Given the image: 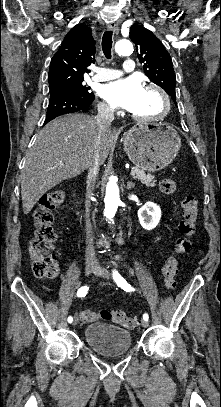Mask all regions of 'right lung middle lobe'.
Instances as JSON below:
<instances>
[{
  "label": "right lung middle lobe",
  "instance_id": "dd1d6c3e",
  "mask_svg": "<svg viewBox=\"0 0 221 407\" xmlns=\"http://www.w3.org/2000/svg\"><path fill=\"white\" fill-rule=\"evenodd\" d=\"M90 87H86L80 83H75L71 85H67L64 87L56 88L50 90V99L64 96V95H75V96H83V97H94V94L91 93Z\"/></svg>",
  "mask_w": 221,
  "mask_h": 407
}]
</instances>
